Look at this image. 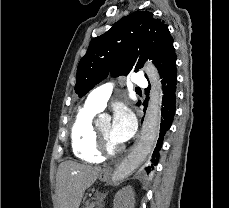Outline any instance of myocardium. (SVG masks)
<instances>
[{
	"mask_svg": "<svg viewBox=\"0 0 229 208\" xmlns=\"http://www.w3.org/2000/svg\"><path fill=\"white\" fill-rule=\"evenodd\" d=\"M95 135L99 140V143H95L94 147L96 153H108V154H115L121 150V146L112 144L106 137L101 135L97 128H94Z\"/></svg>",
	"mask_w": 229,
	"mask_h": 208,
	"instance_id": "1",
	"label": "myocardium"
}]
</instances>
